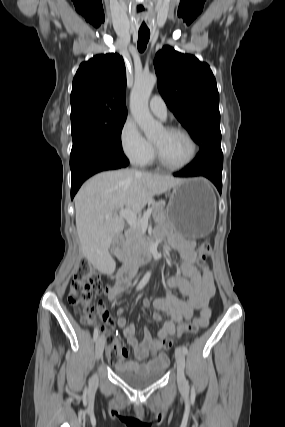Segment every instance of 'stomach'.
<instances>
[{
  "mask_svg": "<svg viewBox=\"0 0 285 427\" xmlns=\"http://www.w3.org/2000/svg\"><path fill=\"white\" fill-rule=\"evenodd\" d=\"M215 218L216 197L206 179H183L173 187L166 219L176 233L190 239L205 237L213 230Z\"/></svg>",
  "mask_w": 285,
  "mask_h": 427,
  "instance_id": "0dacf381",
  "label": "stomach"
}]
</instances>
